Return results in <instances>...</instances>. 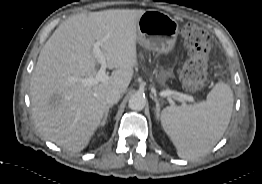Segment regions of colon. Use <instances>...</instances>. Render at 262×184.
I'll list each match as a JSON object with an SVG mask.
<instances>
[{
  "instance_id": "obj_1",
  "label": "colon",
  "mask_w": 262,
  "mask_h": 184,
  "mask_svg": "<svg viewBox=\"0 0 262 184\" xmlns=\"http://www.w3.org/2000/svg\"><path fill=\"white\" fill-rule=\"evenodd\" d=\"M181 34L187 49V59L181 68L180 79L187 91L196 92L206 83L210 36L191 23L183 26Z\"/></svg>"
}]
</instances>
